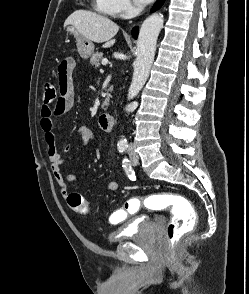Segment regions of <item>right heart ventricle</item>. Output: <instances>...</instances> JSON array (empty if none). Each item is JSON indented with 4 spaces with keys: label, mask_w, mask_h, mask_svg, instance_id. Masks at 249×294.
Wrapping results in <instances>:
<instances>
[{
    "label": "right heart ventricle",
    "mask_w": 249,
    "mask_h": 294,
    "mask_svg": "<svg viewBox=\"0 0 249 294\" xmlns=\"http://www.w3.org/2000/svg\"><path fill=\"white\" fill-rule=\"evenodd\" d=\"M95 8L108 16H114V8H113V2L112 0H94Z\"/></svg>",
    "instance_id": "right-heart-ventricle-1"
}]
</instances>
